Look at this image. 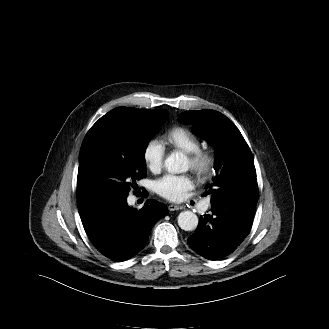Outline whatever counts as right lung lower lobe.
<instances>
[{
	"mask_svg": "<svg viewBox=\"0 0 329 329\" xmlns=\"http://www.w3.org/2000/svg\"><path fill=\"white\" fill-rule=\"evenodd\" d=\"M126 198L102 193L79 205L88 237L104 256L116 261L131 258L143 249L153 225L168 212L165 205L154 200L136 211Z\"/></svg>",
	"mask_w": 329,
	"mask_h": 329,
	"instance_id": "98d812e1",
	"label": "right lung lower lobe"
}]
</instances>
